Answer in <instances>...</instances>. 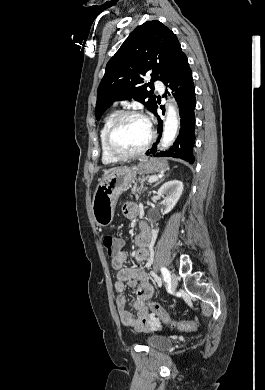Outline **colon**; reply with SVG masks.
<instances>
[{"instance_id":"colon-1","label":"colon","mask_w":265,"mask_h":390,"mask_svg":"<svg viewBox=\"0 0 265 390\" xmlns=\"http://www.w3.org/2000/svg\"><path fill=\"white\" fill-rule=\"evenodd\" d=\"M103 245L106 249V252L109 256H114L117 253V245H116V238L107 235L103 238ZM148 308L150 312L155 316L158 317L163 323L169 324L174 328H177L182 331H192L195 330L199 323L197 320H191V321H177L173 320L169 314L161 307V305L157 302L150 301L148 302Z\"/></svg>"}]
</instances>
